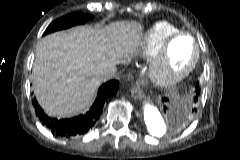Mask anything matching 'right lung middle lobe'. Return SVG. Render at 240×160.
Masks as SVG:
<instances>
[{
  "mask_svg": "<svg viewBox=\"0 0 240 160\" xmlns=\"http://www.w3.org/2000/svg\"><path fill=\"white\" fill-rule=\"evenodd\" d=\"M90 18H92L90 15L71 13L52 22L45 30L44 35L64 28H69L77 24H83L87 19Z\"/></svg>",
  "mask_w": 240,
  "mask_h": 160,
  "instance_id": "right-lung-middle-lobe-1",
  "label": "right lung middle lobe"
}]
</instances>
